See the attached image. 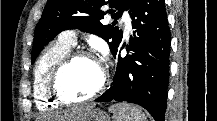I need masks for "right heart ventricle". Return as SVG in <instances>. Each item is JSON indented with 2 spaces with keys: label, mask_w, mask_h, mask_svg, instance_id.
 Instances as JSON below:
<instances>
[{
  "label": "right heart ventricle",
  "mask_w": 217,
  "mask_h": 121,
  "mask_svg": "<svg viewBox=\"0 0 217 121\" xmlns=\"http://www.w3.org/2000/svg\"><path fill=\"white\" fill-rule=\"evenodd\" d=\"M72 49V45L61 38L50 44L40 55L34 69L33 96L36 106L41 110L57 107L49 94L48 79L54 66Z\"/></svg>",
  "instance_id": "obj_1"
}]
</instances>
